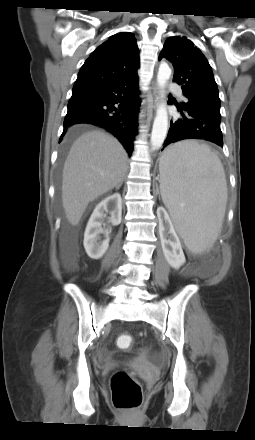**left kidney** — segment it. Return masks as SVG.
Instances as JSON below:
<instances>
[{
  "label": "left kidney",
  "instance_id": "1",
  "mask_svg": "<svg viewBox=\"0 0 255 440\" xmlns=\"http://www.w3.org/2000/svg\"><path fill=\"white\" fill-rule=\"evenodd\" d=\"M157 215L160 221L159 232L164 257L172 268L179 269L186 262L179 237L163 207L158 208Z\"/></svg>",
  "mask_w": 255,
  "mask_h": 440
}]
</instances>
